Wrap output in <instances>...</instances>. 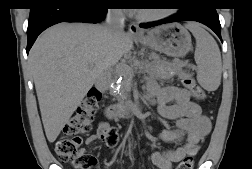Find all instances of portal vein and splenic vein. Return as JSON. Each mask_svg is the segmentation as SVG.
Wrapping results in <instances>:
<instances>
[{"label":"portal vein and splenic vein","mask_w":252,"mask_h":169,"mask_svg":"<svg viewBox=\"0 0 252 169\" xmlns=\"http://www.w3.org/2000/svg\"><path fill=\"white\" fill-rule=\"evenodd\" d=\"M116 68L121 75L132 76L134 73V69L126 64H119Z\"/></svg>","instance_id":"obj_1"}]
</instances>
